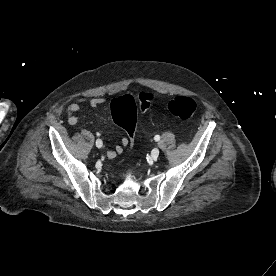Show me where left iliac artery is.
<instances>
[{"mask_svg": "<svg viewBox=\"0 0 276 276\" xmlns=\"http://www.w3.org/2000/svg\"><path fill=\"white\" fill-rule=\"evenodd\" d=\"M154 140H155V141H159V140H160V136H159V135H156V136L154 137Z\"/></svg>", "mask_w": 276, "mask_h": 276, "instance_id": "1", "label": "left iliac artery"}]
</instances>
